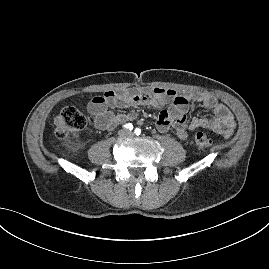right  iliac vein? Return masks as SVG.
<instances>
[{
  "label": "right iliac vein",
  "instance_id": "right-iliac-vein-1",
  "mask_svg": "<svg viewBox=\"0 0 269 269\" xmlns=\"http://www.w3.org/2000/svg\"><path fill=\"white\" fill-rule=\"evenodd\" d=\"M119 135H120V136H124V135H126V132H125L124 130H120V131H119Z\"/></svg>",
  "mask_w": 269,
  "mask_h": 269
}]
</instances>
